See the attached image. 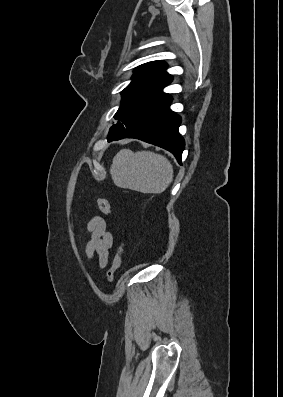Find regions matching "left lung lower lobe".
I'll return each mask as SVG.
<instances>
[{
  "label": "left lung lower lobe",
  "mask_w": 283,
  "mask_h": 397,
  "mask_svg": "<svg viewBox=\"0 0 283 397\" xmlns=\"http://www.w3.org/2000/svg\"><path fill=\"white\" fill-rule=\"evenodd\" d=\"M171 97L157 104L134 121L121 134L108 138V141L123 138H136L170 151L181 164L185 142L178 128L181 117L170 109Z\"/></svg>",
  "instance_id": "obj_1"
}]
</instances>
